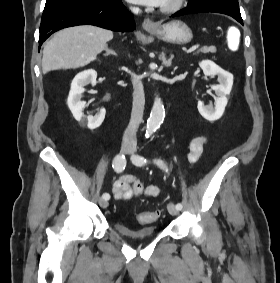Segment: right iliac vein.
<instances>
[{
	"instance_id": "right-iliac-vein-1",
	"label": "right iliac vein",
	"mask_w": 280,
	"mask_h": 283,
	"mask_svg": "<svg viewBox=\"0 0 280 283\" xmlns=\"http://www.w3.org/2000/svg\"><path fill=\"white\" fill-rule=\"evenodd\" d=\"M133 150V148L130 145L124 144L121 147V152L128 154ZM99 204L102 208H106L108 206V201L104 198L99 199Z\"/></svg>"
}]
</instances>
